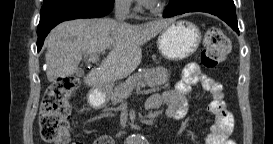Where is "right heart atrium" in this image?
Listing matches in <instances>:
<instances>
[{
	"label": "right heart atrium",
	"mask_w": 273,
	"mask_h": 144,
	"mask_svg": "<svg viewBox=\"0 0 273 144\" xmlns=\"http://www.w3.org/2000/svg\"><path fill=\"white\" fill-rule=\"evenodd\" d=\"M115 5L121 11H130L132 9L131 0H115Z\"/></svg>",
	"instance_id": "obj_1"
}]
</instances>
